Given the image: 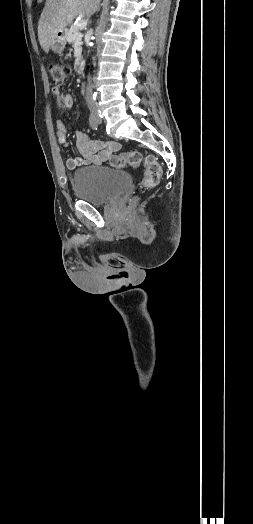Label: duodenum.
Listing matches in <instances>:
<instances>
[{
	"instance_id": "1",
	"label": "duodenum",
	"mask_w": 253,
	"mask_h": 524,
	"mask_svg": "<svg viewBox=\"0 0 253 524\" xmlns=\"http://www.w3.org/2000/svg\"><path fill=\"white\" fill-rule=\"evenodd\" d=\"M74 68H75L76 73H78V74H81L83 72L84 62H83V60L81 58H78L75 61Z\"/></svg>"
}]
</instances>
